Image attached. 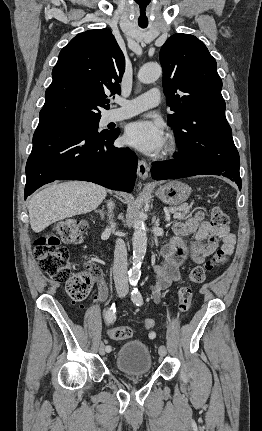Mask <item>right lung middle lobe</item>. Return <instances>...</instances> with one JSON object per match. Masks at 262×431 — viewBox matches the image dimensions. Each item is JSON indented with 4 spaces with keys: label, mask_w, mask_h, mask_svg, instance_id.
<instances>
[{
    "label": "right lung middle lobe",
    "mask_w": 262,
    "mask_h": 431,
    "mask_svg": "<svg viewBox=\"0 0 262 431\" xmlns=\"http://www.w3.org/2000/svg\"><path fill=\"white\" fill-rule=\"evenodd\" d=\"M99 120H100V117H96V118H88V119H75L67 122L78 123L87 127L90 130L97 131ZM101 133H104V132H101Z\"/></svg>",
    "instance_id": "dd1d6c3e"
}]
</instances>
